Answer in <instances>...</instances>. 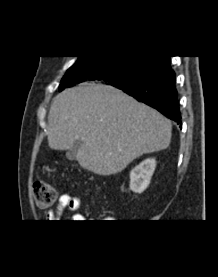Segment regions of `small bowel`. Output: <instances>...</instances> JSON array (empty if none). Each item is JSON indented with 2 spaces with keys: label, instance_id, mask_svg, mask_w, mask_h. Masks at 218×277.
Segmentation results:
<instances>
[{
  "label": "small bowel",
  "instance_id": "obj_1",
  "mask_svg": "<svg viewBox=\"0 0 218 277\" xmlns=\"http://www.w3.org/2000/svg\"><path fill=\"white\" fill-rule=\"evenodd\" d=\"M79 206H80L79 197L73 196L69 193H62L58 198L57 205L46 213V220L47 222H57V220L61 218L65 210L70 212H75L76 210H78ZM73 219L83 220L84 217L80 214H74ZM77 222H80V221H77Z\"/></svg>",
  "mask_w": 218,
  "mask_h": 277
}]
</instances>
